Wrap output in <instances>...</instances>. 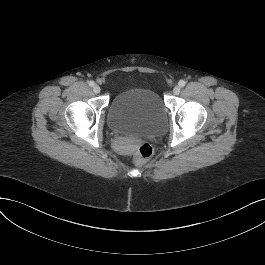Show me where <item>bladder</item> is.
Segmentation results:
<instances>
[{"instance_id": "31cf9c89", "label": "bladder", "mask_w": 265, "mask_h": 265, "mask_svg": "<svg viewBox=\"0 0 265 265\" xmlns=\"http://www.w3.org/2000/svg\"><path fill=\"white\" fill-rule=\"evenodd\" d=\"M166 108L151 89H133L118 94L107 108L110 130L132 136L149 134L165 126Z\"/></svg>"}]
</instances>
